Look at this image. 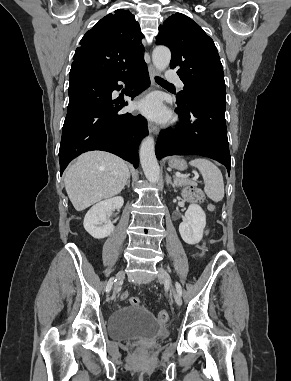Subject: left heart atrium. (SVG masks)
I'll return each mask as SVG.
<instances>
[{"instance_id":"1","label":"left heart atrium","mask_w":291,"mask_h":381,"mask_svg":"<svg viewBox=\"0 0 291 381\" xmlns=\"http://www.w3.org/2000/svg\"><path fill=\"white\" fill-rule=\"evenodd\" d=\"M137 108L140 112L153 120L162 121L168 117V112L157 95H149L142 99L138 102Z\"/></svg>"}]
</instances>
